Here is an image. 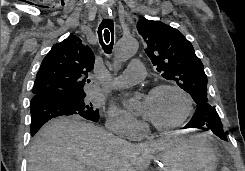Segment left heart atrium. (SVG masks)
<instances>
[{"instance_id": "1", "label": "left heart atrium", "mask_w": 245, "mask_h": 171, "mask_svg": "<svg viewBox=\"0 0 245 171\" xmlns=\"http://www.w3.org/2000/svg\"><path fill=\"white\" fill-rule=\"evenodd\" d=\"M140 113L147 119L151 118V110H150L149 101L147 98L144 99Z\"/></svg>"}]
</instances>
